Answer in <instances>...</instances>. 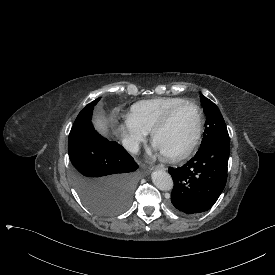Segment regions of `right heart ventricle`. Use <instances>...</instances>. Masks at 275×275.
Masks as SVG:
<instances>
[{"mask_svg": "<svg viewBox=\"0 0 275 275\" xmlns=\"http://www.w3.org/2000/svg\"><path fill=\"white\" fill-rule=\"evenodd\" d=\"M184 101L186 99L162 97L138 102L130 108L128 119L146 133H150L153 127L163 119L173 106Z\"/></svg>", "mask_w": 275, "mask_h": 275, "instance_id": "1", "label": "right heart ventricle"}]
</instances>
